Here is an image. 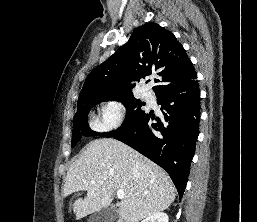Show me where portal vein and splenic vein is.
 <instances>
[{
	"label": "portal vein and splenic vein",
	"mask_w": 257,
	"mask_h": 222,
	"mask_svg": "<svg viewBox=\"0 0 257 222\" xmlns=\"http://www.w3.org/2000/svg\"><path fill=\"white\" fill-rule=\"evenodd\" d=\"M92 183L94 184L95 182H92ZM124 196H125V194H124V192L122 190H117V197L119 199H123Z\"/></svg>",
	"instance_id": "18ae733b"
}]
</instances>
